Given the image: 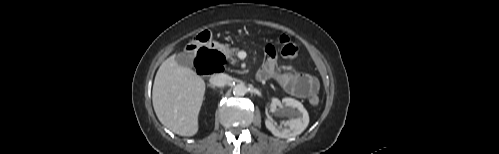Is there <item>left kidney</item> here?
<instances>
[{
	"instance_id": "left-kidney-1",
	"label": "left kidney",
	"mask_w": 499,
	"mask_h": 154,
	"mask_svg": "<svg viewBox=\"0 0 499 154\" xmlns=\"http://www.w3.org/2000/svg\"><path fill=\"white\" fill-rule=\"evenodd\" d=\"M282 103L291 108L292 114L295 118H292L283 125L276 127L271 118L265 120L266 128L271 131V133L280 138H290L301 134L309 124V114L304 108L301 102L293 98H283Z\"/></svg>"
}]
</instances>
